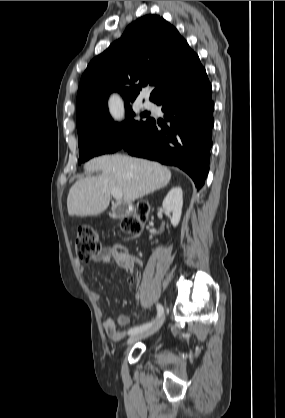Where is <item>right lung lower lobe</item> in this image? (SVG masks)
<instances>
[{
  "label": "right lung lower lobe",
  "instance_id": "obj_1",
  "mask_svg": "<svg viewBox=\"0 0 285 418\" xmlns=\"http://www.w3.org/2000/svg\"><path fill=\"white\" fill-rule=\"evenodd\" d=\"M211 90L203 69L156 103L163 106L164 118L170 122L169 126L152 118L121 148L132 156L179 167L200 188L209 171L212 147L214 102Z\"/></svg>",
  "mask_w": 285,
  "mask_h": 418
}]
</instances>
